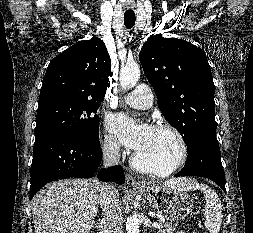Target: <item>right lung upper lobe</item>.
<instances>
[{"label":"right lung upper lobe","mask_w":253,"mask_h":233,"mask_svg":"<svg viewBox=\"0 0 253 233\" xmlns=\"http://www.w3.org/2000/svg\"><path fill=\"white\" fill-rule=\"evenodd\" d=\"M111 76V60L99 38L83 40L52 59L39 103L53 98L103 101Z\"/></svg>","instance_id":"1"}]
</instances>
